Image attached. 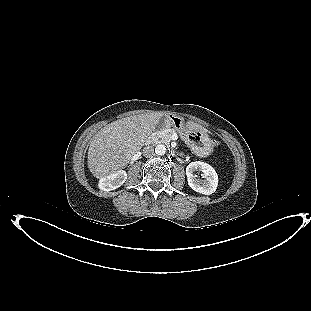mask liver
<instances>
[{
  "label": "liver",
  "mask_w": 311,
  "mask_h": 311,
  "mask_svg": "<svg viewBox=\"0 0 311 311\" xmlns=\"http://www.w3.org/2000/svg\"><path fill=\"white\" fill-rule=\"evenodd\" d=\"M163 114L146 113L114 121L94 135L88 149V168L94 177L105 178L124 168L141 149ZM191 129L203 130L194 123Z\"/></svg>",
  "instance_id": "6515ba94"
}]
</instances>
